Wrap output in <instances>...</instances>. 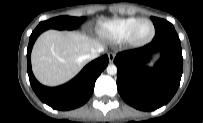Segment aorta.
Instances as JSON below:
<instances>
[{"label":"aorta","mask_w":203,"mask_h":123,"mask_svg":"<svg viewBox=\"0 0 203 123\" xmlns=\"http://www.w3.org/2000/svg\"><path fill=\"white\" fill-rule=\"evenodd\" d=\"M107 73L109 75H115L117 73V67L114 64H110L107 66Z\"/></svg>","instance_id":"aorta-1"}]
</instances>
